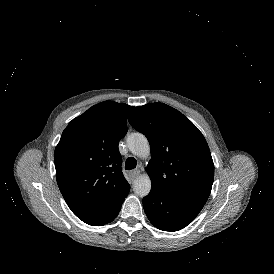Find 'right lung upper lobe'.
<instances>
[{
    "mask_svg": "<svg viewBox=\"0 0 274 274\" xmlns=\"http://www.w3.org/2000/svg\"><path fill=\"white\" fill-rule=\"evenodd\" d=\"M133 109L114 101L99 103L68 124L55 148L60 191L72 212L89 225L109 223L129 193L118 143Z\"/></svg>",
    "mask_w": 274,
    "mask_h": 274,
    "instance_id": "cb5924a9",
    "label": "right lung upper lobe"
}]
</instances>
